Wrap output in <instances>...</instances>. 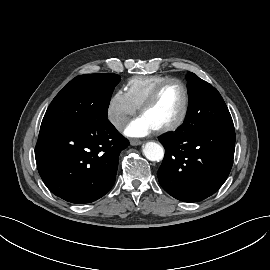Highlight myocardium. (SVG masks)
<instances>
[{
  "instance_id": "myocardium-1",
  "label": "myocardium",
  "mask_w": 270,
  "mask_h": 270,
  "mask_svg": "<svg viewBox=\"0 0 270 270\" xmlns=\"http://www.w3.org/2000/svg\"><path fill=\"white\" fill-rule=\"evenodd\" d=\"M171 83H178L182 86L183 91H184V104H183V108L182 111L179 115V117L174 120L173 122L164 125L162 127H159L156 130L157 133H166V132H170V131H174L176 129H178L179 127H181L184 122L187 119L188 113H189V109H190V93H189V89L187 84L178 78H170L167 79L161 83H159L152 91L151 93L148 95V97L145 99V101L142 103V105L139 108V113L142 115L158 98L159 94L161 93V91L169 84Z\"/></svg>"
}]
</instances>
